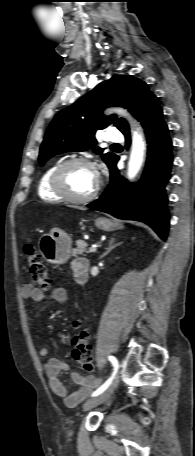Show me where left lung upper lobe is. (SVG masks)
<instances>
[{
    "mask_svg": "<svg viewBox=\"0 0 195 456\" xmlns=\"http://www.w3.org/2000/svg\"><path fill=\"white\" fill-rule=\"evenodd\" d=\"M154 96L145 82L131 75H115L100 83L54 117L40 148V165L54 155L69 151L92 148L94 152L101 154L103 149L96 146L94 136L97 129H104L114 123L122 133L129 130L124 119H117L116 115L106 117L102 110L109 106H121L136 116L143 105ZM117 157L112 152L102 154V159L109 168Z\"/></svg>",
    "mask_w": 195,
    "mask_h": 456,
    "instance_id": "1",
    "label": "left lung upper lobe"
}]
</instances>
